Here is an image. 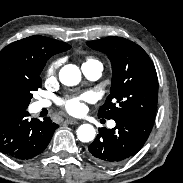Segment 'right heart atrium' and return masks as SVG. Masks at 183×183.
I'll list each match as a JSON object with an SVG mask.
<instances>
[{"instance_id":"obj_1","label":"right heart atrium","mask_w":183,"mask_h":183,"mask_svg":"<svg viewBox=\"0 0 183 183\" xmlns=\"http://www.w3.org/2000/svg\"><path fill=\"white\" fill-rule=\"evenodd\" d=\"M59 63L57 61L51 62L45 69V77L47 79H53L56 75Z\"/></svg>"}]
</instances>
